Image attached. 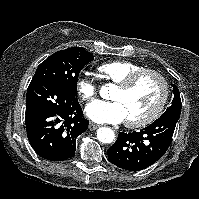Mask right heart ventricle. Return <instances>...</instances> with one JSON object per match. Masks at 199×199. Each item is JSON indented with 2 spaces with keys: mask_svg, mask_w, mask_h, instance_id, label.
<instances>
[{
  "mask_svg": "<svg viewBox=\"0 0 199 199\" xmlns=\"http://www.w3.org/2000/svg\"><path fill=\"white\" fill-rule=\"evenodd\" d=\"M141 69H144V67L126 60L109 61L98 67L99 72H101L107 80L115 84L122 82L129 75Z\"/></svg>",
  "mask_w": 199,
  "mask_h": 199,
  "instance_id": "right-heart-ventricle-1",
  "label": "right heart ventricle"
}]
</instances>
